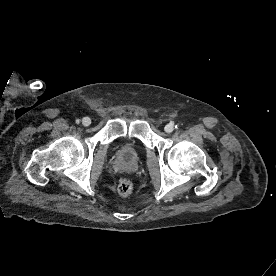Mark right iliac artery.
<instances>
[{
	"mask_svg": "<svg viewBox=\"0 0 276 276\" xmlns=\"http://www.w3.org/2000/svg\"><path fill=\"white\" fill-rule=\"evenodd\" d=\"M77 124H79L80 123V120L79 119H76V121H75Z\"/></svg>",
	"mask_w": 276,
	"mask_h": 276,
	"instance_id": "82829eb1",
	"label": "right iliac artery"
}]
</instances>
